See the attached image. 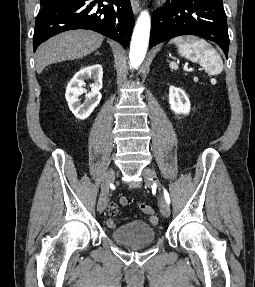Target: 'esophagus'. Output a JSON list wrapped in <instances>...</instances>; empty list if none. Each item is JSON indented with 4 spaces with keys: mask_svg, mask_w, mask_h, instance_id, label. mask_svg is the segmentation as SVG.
<instances>
[{
    "mask_svg": "<svg viewBox=\"0 0 255 287\" xmlns=\"http://www.w3.org/2000/svg\"><path fill=\"white\" fill-rule=\"evenodd\" d=\"M130 1H131L133 13L136 15L140 10L139 0H130Z\"/></svg>",
    "mask_w": 255,
    "mask_h": 287,
    "instance_id": "1",
    "label": "esophagus"
}]
</instances>
